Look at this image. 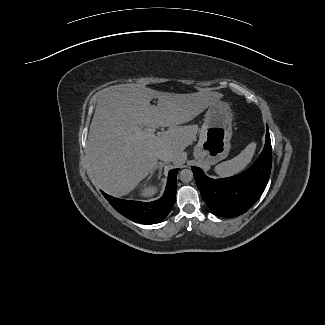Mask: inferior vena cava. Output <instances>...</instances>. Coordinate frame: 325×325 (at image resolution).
Masks as SVG:
<instances>
[{"label": "inferior vena cava", "instance_id": "obj_1", "mask_svg": "<svg viewBox=\"0 0 325 325\" xmlns=\"http://www.w3.org/2000/svg\"><path fill=\"white\" fill-rule=\"evenodd\" d=\"M158 158L160 160H163L165 162H171L173 161L174 159V155L172 152L168 151V150H161L159 153H158Z\"/></svg>", "mask_w": 325, "mask_h": 325}]
</instances>
